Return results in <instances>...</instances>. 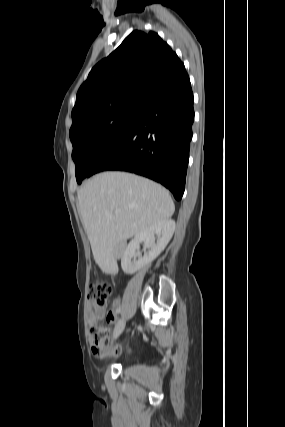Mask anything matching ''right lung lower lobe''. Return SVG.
<instances>
[{"mask_svg": "<svg viewBox=\"0 0 285 427\" xmlns=\"http://www.w3.org/2000/svg\"><path fill=\"white\" fill-rule=\"evenodd\" d=\"M194 97L187 72L156 88L120 143L88 174L121 170L148 177L176 200L185 189Z\"/></svg>", "mask_w": 285, "mask_h": 427, "instance_id": "right-lung-lower-lobe-1", "label": "right lung lower lobe"}]
</instances>
